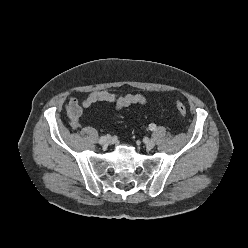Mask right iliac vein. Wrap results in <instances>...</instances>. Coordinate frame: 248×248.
Instances as JSON below:
<instances>
[{
    "label": "right iliac vein",
    "instance_id": "63e3f726",
    "mask_svg": "<svg viewBox=\"0 0 248 248\" xmlns=\"http://www.w3.org/2000/svg\"><path fill=\"white\" fill-rule=\"evenodd\" d=\"M110 144V138L109 137H105V141L102 144L103 146H108Z\"/></svg>",
    "mask_w": 248,
    "mask_h": 248
}]
</instances>
